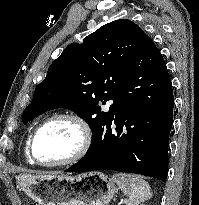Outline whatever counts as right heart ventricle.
<instances>
[{"label": "right heart ventricle", "mask_w": 199, "mask_h": 205, "mask_svg": "<svg viewBox=\"0 0 199 205\" xmlns=\"http://www.w3.org/2000/svg\"><path fill=\"white\" fill-rule=\"evenodd\" d=\"M28 140H29V138L27 139L26 144H25V147H24V157H25V160H26L29 164H32V161L30 160L29 155H28Z\"/></svg>", "instance_id": "e07e8e85"}]
</instances>
